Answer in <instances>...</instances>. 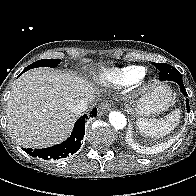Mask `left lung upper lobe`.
I'll use <instances>...</instances> for the list:
<instances>
[{
    "mask_svg": "<svg viewBox=\"0 0 196 196\" xmlns=\"http://www.w3.org/2000/svg\"><path fill=\"white\" fill-rule=\"evenodd\" d=\"M163 64H166V63H154V66L160 71V74H159V77L161 76H164L162 73H161V69L158 67L160 65H163ZM171 68L174 69V71L172 73H177V75H179L181 77V74L177 71V69H175L174 67L171 66ZM169 72V71H167Z\"/></svg>",
    "mask_w": 196,
    "mask_h": 196,
    "instance_id": "left-lung-upper-lobe-1",
    "label": "left lung upper lobe"
}]
</instances>
